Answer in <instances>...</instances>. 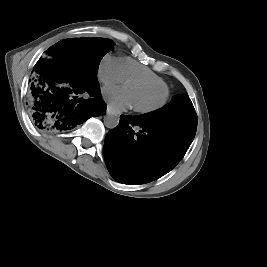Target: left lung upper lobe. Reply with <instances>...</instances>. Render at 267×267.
<instances>
[{
  "label": "left lung upper lobe",
  "instance_id": "1",
  "mask_svg": "<svg viewBox=\"0 0 267 267\" xmlns=\"http://www.w3.org/2000/svg\"><path fill=\"white\" fill-rule=\"evenodd\" d=\"M142 117L183 121L197 126V115L188 94L176 95L169 104L153 112L142 114Z\"/></svg>",
  "mask_w": 267,
  "mask_h": 267
}]
</instances>
